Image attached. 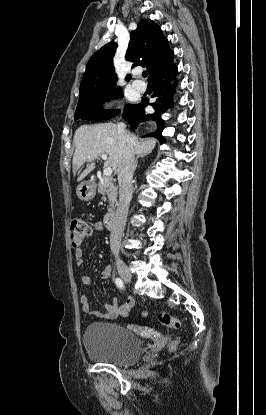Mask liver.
Wrapping results in <instances>:
<instances>
[{"mask_svg":"<svg viewBox=\"0 0 266 415\" xmlns=\"http://www.w3.org/2000/svg\"><path fill=\"white\" fill-rule=\"evenodd\" d=\"M132 139L134 154H149L156 145L153 138L138 139L135 135L127 133ZM75 153L72 160L73 173L87 161L90 164L81 173L77 181L83 180L95 167V160L101 154L108 155L106 166L118 169L121 150L118 141L117 125L114 123H101L95 125H83L74 135Z\"/></svg>","mask_w":266,"mask_h":415,"instance_id":"obj_1","label":"liver"}]
</instances>
